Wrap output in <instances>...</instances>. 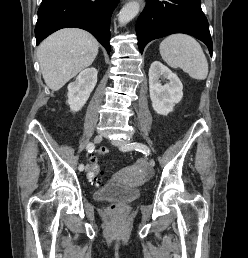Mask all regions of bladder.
I'll return each instance as SVG.
<instances>
[{
  "instance_id": "31cf9c89",
  "label": "bladder",
  "mask_w": 248,
  "mask_h": 258,
  "mask_svg": "<svg viewBox=\"0 0 248 258\" xmlns=\"http://www.w3.org/2000/svg\"><path fill=\"white\" fill-rule=\"evenodd\" d=\"M142 195L141 191L118 183H107L94 192V197L98 201L118 200L131 202Z\"/></svg>"
}]
</instances>
